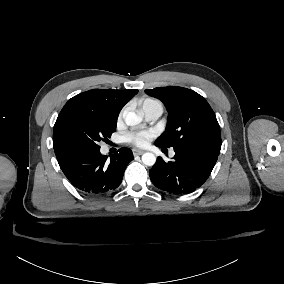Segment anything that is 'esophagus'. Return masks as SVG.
<instances>
[{
  "label": "esophagus",
  "instance_id": "obj_1",
  "mask_svg": "<svg viewBox=\"0 0 284 284\" xmlns=\"http://www.w3.org/2000/svg\"><path fill=\"white\" fill-rule=\"evenodd\" d=\"M132 152L134 156H137V155H142L145 151L140 150V149H132Z\"/></svg>",
  "mask_w": 284,
  "mask_h": 284
}]
</instances>
